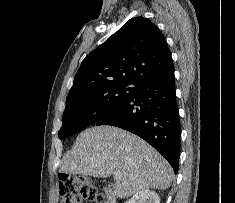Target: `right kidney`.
I'll return each instance as SVG.
<instances>
[{"instance_id":"right-kidney-1","label":"right kidney","mask_w":235,"mask_h":203,"mask_svg":"<svg viewBox=\"0 0 235 203\" xmlns=\"http://www.w3.org/2000/svg\"><path fill=\"white\" fill-rule=\"evenodd\" d=\"M125 203H160V198L154 191L146 189L138 192Z\"/></svg>"}]
</instances>
